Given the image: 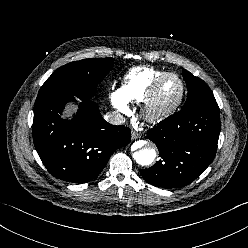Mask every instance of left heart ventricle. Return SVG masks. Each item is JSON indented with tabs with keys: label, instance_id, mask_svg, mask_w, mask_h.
Returning a JSON list of instances; mask_svg holds the SVG:
<instances>
[{
	"label": "left heart ventricle",
	"instance_id": "1",
	"mask_svg": "<svg viewBox=\"0 0 248 248\" xmlns=\"http://www.w3.org/2000/svg\"><path fill=\"white\" fill-rule=\"evenodd\" d=\"M180 90H181V86L177 78L175 77L167 78L163 82L159 90L158 102L160 104H169L175 101L180 94Z\"/></svg>",
	"mask_w": 248,
	"mask_h": 248
}]
</instances>
